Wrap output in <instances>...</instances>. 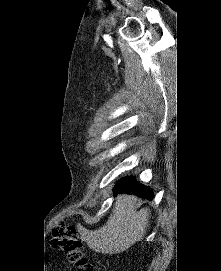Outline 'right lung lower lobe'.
<instances>
[{"label": "right lung lower lobe", "mask_w": 221, "mask_h": 271, "mask_svg": "<svg viewBox=\"0 0 221 271\" xmlns=\"http://www.w3.org/2000/svg\"><path fill=\"white\" fill-rule=\"evenodd\" d=\"M126 192L130 194L131 192L142 198L152 200L153 192L150 188L141 185L133 177H126L118 182L115 187L114 193Z\"/></svg>", "instance_id": "1"}]
</instances>
